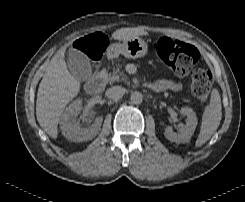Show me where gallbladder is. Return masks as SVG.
Here are the masks:
<instances>
[{"label":"gallbladder","instance_id":"1","mask_svg":"<svg viewBox=\"0 0 245 202\" xmlns=\"http://www.w3.org/2000/svg\"><path fill=\"white\" fill-rule=\"evenodd\" d=\"M68 67L74 78L80 82H85L92 76L90 59L76 49L69 50Z\"/></svg>","mask_w":245,"mask_h":202}]
</instances>
